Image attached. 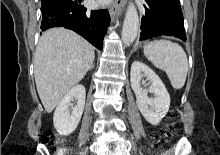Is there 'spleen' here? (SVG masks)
<instances>
[{
	"label": "spleen",
	"mask_w": 220,
	"mask_h": 155,
	"mask_svg": "<svg viewBox=\"0 0 220 155\" xmlns=\"http://www.w3.org/2000/svg\"><path fill=\"white\" fill-rule=\"evenodd\" d=\"M145 57L165 71L174 89H181L187 78L188 59L183 48L170 40H157L144 47Z\"/></svg>",
	"instance_id": "3e777b00"
}]
</instances>
